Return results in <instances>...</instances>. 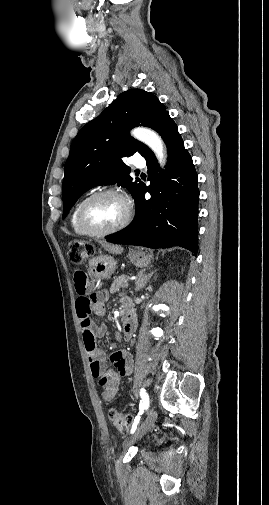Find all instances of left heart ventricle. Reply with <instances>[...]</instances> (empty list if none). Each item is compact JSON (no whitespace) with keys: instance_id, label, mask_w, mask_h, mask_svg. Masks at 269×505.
Masks as SVG:
<instances>
[{"instance_id":"1","label":"left heart ventricle","mask_w":269,"mask_h":505,"mask_svg":"<svg viewBox=\"0 0 269 505\" xmlns=\"http://www.w3.org/2000/svg\"><path fill=\"white\" fill-rule=\"evenodd\" d=\"M125 213L126 206L121 198L104 196L89 206L86 219L95 228L108 229L120 223Z\"/></svg>"}]
</instances>
